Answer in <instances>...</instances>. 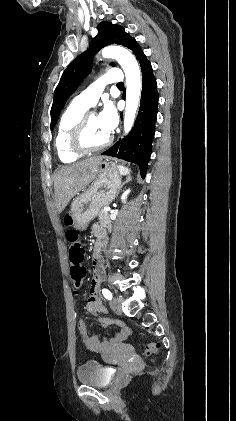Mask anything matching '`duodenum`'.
<instances>
[{
	"label": "duodenum",
	"instance_id": "410a0bca",
	"mask_svg": "<svg viewBox=\"0 0 236 421\" xmlns=\"http://www.w3.org/2000/svg\"><path fill=\"white\" fill-rule=\"evenodd\" d=\"M95 235L98 238V241L96 243V251L99 252L107 246L108 239H107L106 232H105L104 228L99 229L95 233ZM93 266H94L95 281L100 283L102 281V278H103V275H104V269H103V261L98 254L94 258ZM94 310H99V307H97V306L94 307ZM81 333L83 334V336L85 338V341L89 343L90 339L87 337V332H86L85 327L81 329ZM118 339L119 338H117V340ZM108 345H110V342H104V343L100 344V346H102V347H106Z\"/></svg>",
	"mask_w": 236,
	"mask_h": 421
}]
</instances>
